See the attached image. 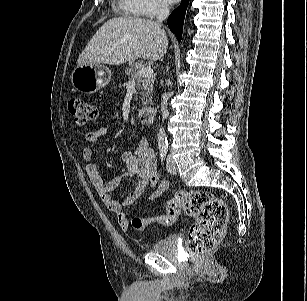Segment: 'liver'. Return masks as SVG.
Instances as JSON below:
<instances>
[{"label": "liver", "instance_id": "liver-1", "mask_svg": "<svg viewBox=\"0 0 307 301\" xmlns=\"http://www.w3.org/2000/svg\"><path fill=\"white\" fill-rule=\"evenodd\" d=\"M168 48L161 24L138 17H116L104 23L80 54L77 65H120L139 57L157 61Z\"/></svg>", "mask_w": 307, "mask_h": 301}]
</instances>
